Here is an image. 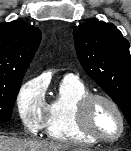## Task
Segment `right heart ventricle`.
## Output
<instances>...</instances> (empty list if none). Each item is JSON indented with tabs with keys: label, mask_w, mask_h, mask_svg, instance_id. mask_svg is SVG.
I'll use <instances>...</instances> for the list:
<instances>
[{
	"label": "right heart ventricle",
	"mask_w": 131,
	"mask_h": 151,
	"mask_svg": "<svg viewBox=\"0 0 131 151\" xmlns=\"http://www.w3.org/2000/svg\"><path fill=\"white\" fill-rule=\"evenodd\" d=\"M88 93L89 89L78 78L62 79L58 94L46 106L44 128L50 139L74 144L96 142L80 131L76 120L77 105Z\"/></svg>",
	"instance_id": "right-heart-ventricle-1"
}]
</instances>
